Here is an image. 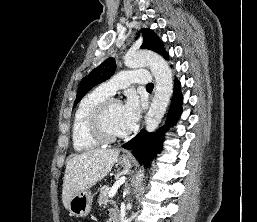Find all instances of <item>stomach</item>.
<instances>
[{
	"instance_id": "1",
	"label": "stomach",
	"mask_w": 257,
	"mask_h": 222,
	"mask_svg": "<svg viewBox=\"0 0 257 222\" xmlns=\"http://www.w3.org/2000/svg\"><path fill=\"white\" fill-rule=\"evenodd\" d=\"M116 163L125 168H131V160L126 156H121ZM92 206V195L89 189L81 190L75 193L69 201L68 210L70 214L76 217H85L89 214Z\"/></svg>"
}]
</instances>
